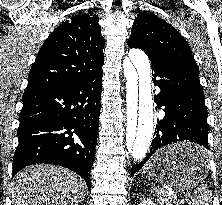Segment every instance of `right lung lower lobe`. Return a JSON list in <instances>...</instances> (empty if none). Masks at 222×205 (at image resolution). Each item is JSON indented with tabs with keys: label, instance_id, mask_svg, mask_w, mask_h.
Listing matches in <instances>:
<instances>
[{
	"label": "right lung lower lobe",
	"instance_id": "98d812e1",
	"mask_svg": "<svg viewBox=\"0 0 222 205\" xmlns=\"http://www.w3.org/2000/svg\"><path fill=\"white\" fill-rule=\"evenodd\" d=\"M102 76L100 71L72 84L24 92L13 176L31 164L60 165L83 177L90 190Z\"/></svg>",
	"mask_w": 222,
	"mask_h": 205
}]
</instances>
